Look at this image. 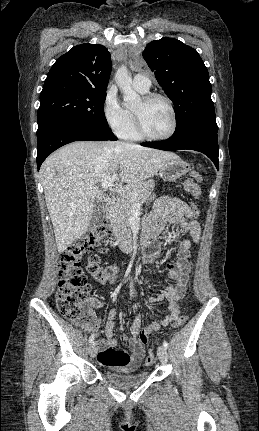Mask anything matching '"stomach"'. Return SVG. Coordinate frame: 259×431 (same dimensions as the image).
<instances>
[{
  "label": "stomach",
  "instance_id": "1",
  "mask_svg": "<svg viewBox=\"0 0 259 431\" xmlns=\"http://www.w3.org/2000/svg\"><path fill=\"white\" fill-rule=\"evenodd\" d=\"M190 170V165L180 157L168 160L159 170V175L165 180L174 182Z\"/></svg>",
  "mask_w": 259,
  "mask_h": 431
}]
</instances>
